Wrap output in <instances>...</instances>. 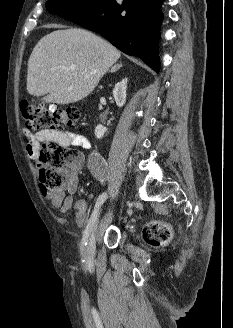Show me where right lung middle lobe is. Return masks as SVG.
Here are the masks:
<instances>
[{
	"label": "right lung middle lobe",
	"mask_w": 233,
	"mask_h": 328,
	"mask_svg": "<svg viewBox=\"0 0 233 328\" xmlns=\"http://www.w3.org/2000/svg\"><path fill=\"white\" fill-rule=\"evenodd\" d=\"M100 0H48L46 7L50 13L66 17L73 12L85 10Z\"/></svg>",
	"instance_id": "right-lung-middle-lobe-1"
}]
</instances>
